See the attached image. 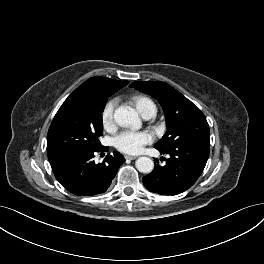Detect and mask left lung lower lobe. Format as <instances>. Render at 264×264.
Listing matches in <instances>:
<instances>
[{"instance_id":"0a47b994","label":"left lung lower lobe","mask_w":264,"mask_h":264,"mask_svg":"<svg viewBox=\"0 0 264 264\" xmlns=\"http://www.w3.org/2000/svg\"><path fill=\"white\" fill-rule=\"evenodd\" d=\"M209 149L210 145L201 143H181L166 151L158 149L161 154L170 157L164 166L154 159L153 171L142 178L144 186L151 192L165 195L184 192L203 172Z\"/></svg>"}]
</instances>
